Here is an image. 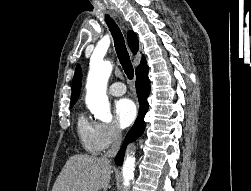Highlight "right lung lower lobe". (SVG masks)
Instances as JSON below:
<instances>
[{
    "label": "right lung lower lobe",
    "instance_id": "1",
    "mask_svg": "<svg viewBox=\"0 0 251 191\" xmlns=\"http://www.w3.org/2000/svg\"><path fill=\"white\" fill-rule=\"evenodd\" d=\"M136 91L140 104L139 113L134 125L129 130L125 138L122 148L120 149L119 153L115 158V162L119 166H121L123 163L124 153L127 144L129 142L135 141L138 137H140L145 129L144 116L148 111L147 97L150 93V80L148 78V75L136 78Z\"/></svg>",
    "mask_w": 251,
    "mask_h": 191
}]
</instances>
